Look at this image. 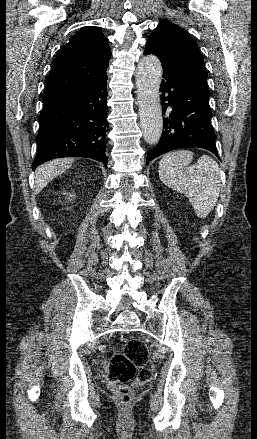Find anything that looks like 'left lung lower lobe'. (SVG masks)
<instances>
[{
    "label": "left lung lower lobe",
    "instance_id": "1",
    "mask_svg": "<svg viewBox=\"0 0 257 439\" xmlns=\"http://www.w3.org/2000/svg\"><path fill=\"white\" fill-rule=\"evenodd\" d=\"M153 54L145 49L144 55ZM163 66L160 91L163 132L156 147L147 153V162L172 150L203 148L218 159L215 133L211 126L210 94L203 91L181 72ZM169 107V108H168Z\"/></svg>",
    "mask_w": 257,
    "mask_h": 439
}]
</instances>
